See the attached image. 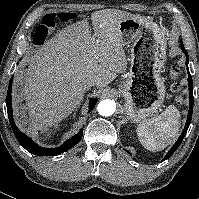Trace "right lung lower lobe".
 Instances as JSON below:
<instances>
[{
	"instance_id": "98d812e1",
	"label": "right lung lower lobe",
	"mask_w": 199,
	"mask_h": 199,
	"mask_svg": "<svg viewBox=\"0 0 199 199\" xmlns=\"http://www.w3.org/2000/svg\"><path fill=\"white\" fill-rule=\"evenodd\" d=\"M12 82H13V76L10 79L8 91H7V97H6V105H7V112L9 121L12 127V130L19 141V143L30 153L34 155H40V156H56L60 153H63L73 146H75L82 138L83 135V129H81L76 135L65 141L61 146L57 148H43L37 145L30 137L22 133L17 126L15 125V122L13 120L12 115V103H11V91H12ZM97 103V99H91L89 103V112L94 108V106Z\"/></svg>"
}]
</instances>
